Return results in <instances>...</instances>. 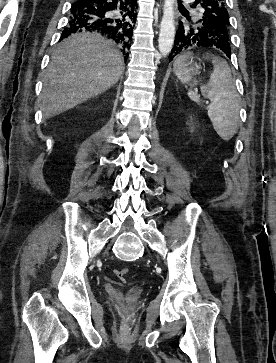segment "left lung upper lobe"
Returning a JSON list of instances; mask_svg holds the SVG:
<instances>
[{
    "instance_id": "left-lung-upper-lobe-1",
    "label": "left lung upper lobe",
    "mask_w": 276,
    "mask_h": 363,
    "mask_svg": "<svg viewBox=\"0 0 276 363\" xmlns=\"http://www.w3.org/2000/svg\"><path fill=\"white\" fill-rule=\"evenodd\" d=\"M204 9L201 19L195 23L206 21L210 24V30L230 46L229 38V14L224 0H197Z\"/></svg>"
}]
</instances>
